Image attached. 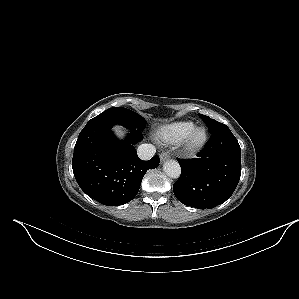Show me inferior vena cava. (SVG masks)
<instances>
[{"label": "inferior vena cava", "mask_w": 299, "mask_h": 299, "mask_svg": "<svg viewBox=\"0 0 299 299\" xmlns=\"http://www.w3.org/2000/svg\"><path fill=\"white\" fill-rule=\"evenodd\" d=\"M137 153L140 159L149 160L155 155L156 148L152 144H142L138 147Z\"/></svg>", "instance_id": "1"}]
</instances>
